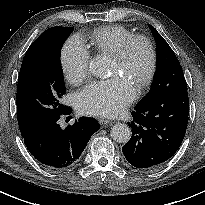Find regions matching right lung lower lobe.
Masks as SVG:
<instances>
[{"mask_svg":"<svg viewBox=\"0 0 205 205\" xmlns=\"http://www.w3.org/2000/svg\"><path fill=\"white\" fill-rule=\"evenodd\" d=\"M70 113V108L66 107L62 113L47 117L22 136L29 152L49 168L73 166L93 133L99 129L96 120L84 117L62 129L58 120L62 114Z\"/></svg>","mask_w":205,"mask_h":205,"instance_id":"1","label":"right lung lower lobe"}]
</instances>
